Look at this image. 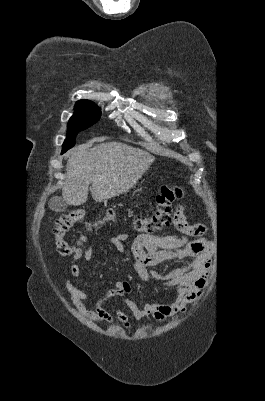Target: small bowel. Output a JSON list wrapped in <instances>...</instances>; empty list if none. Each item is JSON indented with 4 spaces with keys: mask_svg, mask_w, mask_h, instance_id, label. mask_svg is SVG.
Returning <instances> with one entry per match:
<instances>
[{
    "mask_svg": "<svg viewBox=\"0 0 265 401\" xmlns=\"http://www.w3.org/2000/svg\"><path fill=\"white\" fill-rule=\"evenodd\" d=\"M173 224L182 234L181 236L141 234L131 244V252L135 259L134 268L139 277L146 282L159 281L177 291L176 301L172 305L146 303L144 306H139L132 299H125L126 306L136 320L149 316L164 320L184 312L199 298L207 281L211 245L204 237L206 226L190 224L186 219L183 205L175 209ZM190 237L195 239L190 240ZM127 238L128 234L123 232L117 235H106L102 239L110 242L118 252L122 253L125 251L124 242ZM81 258L89 262L93 261L92 244L77 247L74 250L69 271L66 274L65 287L85 317L93 322L113 323L114 317L104 309V303L112 297L128 294L130 286L125 281L115 282L112 289L97 299L93 310L87 309L84 302L90 296L81 287L74 285L70 279V276L74 278L80 276L77 262ZM175 260H186V262L182 267L169 272H158L152 269L161 263ZM115 317L124 329H131L130 318L121 308L116 309Z\"/></svg>",
    "mask_w": 265,
    "mask_h": 401,
    "instance_id": "small-bowel-1",
    "label": "small bowel"
}]
</instances>
